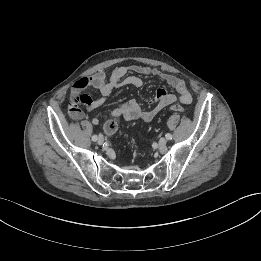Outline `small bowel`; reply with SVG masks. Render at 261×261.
<instances>
[{"mask_svg":"<svg viewBox=\"0 0 261 261\" xmlns=\"http://www.w3.org/2000/svg\"><path fill=\"white\" fill-rule=\"evenodd\" d=\"M129 72L136 75H128ZM141 76L158 78L174 89L176 94L169 93L164 88H159L148 108H142L137 101L131 99L112 110L111 117H122L126 121L142 120L149 122L161 110L176 101L183 104L192 102V95L187 89L186 83L176 76L142 65L118 66L109 76L104 71H98L91 76L81 77L75 81L70 92V117L74 120L82 119L84 114L81 106H85L90 111L97 110L105 103L106 97L115 89L123 86L141 87L143 85ZM89 87L96 89L100 93V97L92 99L85 94L84 90ZM91 121L94 125H97L101 120L99 117L94 116Z\"/></svg>","mask_w":261,"mask_h":261,"instance_id":"obj_1","label":"small bowel"}]
</instances>
